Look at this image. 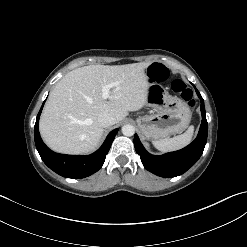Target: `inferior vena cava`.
Masks as SVG:
<instances>
[{"mask_svg":"<svg viewBox=\"0 0 247 247\" xmlns=\"http://www.w3.org/2000/svg\"><path fill=\"white\" fill-rule=\"evenodd\" d=\"M98 123L102 127H109V126L114 125L116 123V119L114 116H112L109 113H102L98 117Z\"/></svg>","mask_w":247,"mask_h":247,"instance_id":"obj_1","label":"inferior vena cava"}]
</instances>
